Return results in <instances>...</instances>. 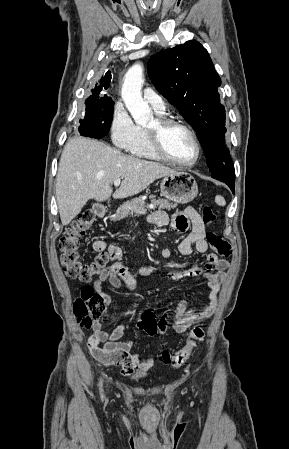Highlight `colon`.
<instances>
[{"label": "colon", "mask_w": 289, "mask_h": 449, "mask_svg": "<svg viewBox=\"0 0 289 449\" xmlns=\"http://www.w3.org/2000/svg\"><path fill=\"white\" fill-rule=\"evenodd\" d=\"M95 219V214L91 210L81 213L71 224L67 233L60 239L59 249L61 252V263L68 277L83 282L91 280L99 275L108 267L109 255L106 252H100L91 261L85 262L81 259L79 253V240L90 228ZM202 220L206 226L213 224L216 215L211 207L202 208ZM207 241L214 253L212 256L228 257L232 253L230 244L219 234L209 232ZM105 309V301L90 286H85L81 295L75 300L73 310L77 320L83 327L90 328L97 319L101 317ZM139 329L150 336L166 335L168 332V323L166 318L156 320L151 312H145L139 322ZM204 330L199 327H193L188 334L185 345L174 353L168 350H162V359L172 367L181 366L191 355L196 343L204 338Z\"/></svg>", "instance_id": "5ec220e1"}]
</instances>
